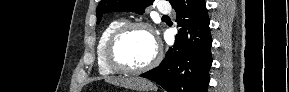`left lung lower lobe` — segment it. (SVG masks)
<instances>
[{
	"mask_svg": "<svg viewBox=\"0 0 289 92\" xmlns=\"http://www.w3.org/2000/svg\"><path fill=\"white\" fill-rule=\"evenodd\" d=\"M180 30L161 64L143 74L168 92H207L212 38L205 0H174Z\"/></svg>",
	"mask_w": 289,
	"mask_h": 92,
	"instance_id": "1",
	"label": "left lung lower lobe"
}]
</instances>
